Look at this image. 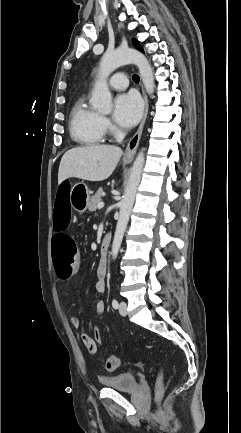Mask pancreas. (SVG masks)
<instances>
[{
    "instance_id": "1",
    "label": "pancreas",
    "mask_w": 241,
    "mask_h": 433,
    "mask_svg": "<svg viewBox=\"0 0 241 433\" xmlns=\"http://www.w3.org/2000/svg\"><path fill=\"white\" fill-rule=\"evenodd\" d=\"M103 191L102 189H99L94 196L90 198V201L88 203V210L93 212L97 209V205L99 202H101Z\"/></svg>"
}]
</instances>
